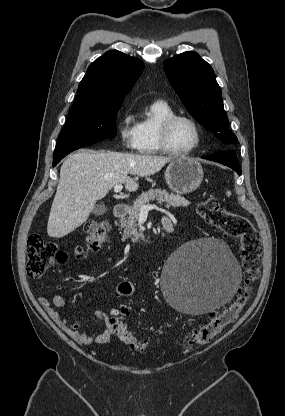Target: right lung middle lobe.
Wrapping results in <instances>:
<instances>
[{
	"label": "right lung middle lobe",
	"mask_w": 285,
	"mask_h": 416,
	"mask_svg": "<svg viewBox=\"0 0 285 416\" xmlns=\"http://www.w3.org/2000/svg\"><path fill=\"white\" fill-rule=\"evenodd\" d=\"M122 101L102 104L75 102L58 144L73 141H100L116 135V116Z\"/></svg>",
	"instance_id": "right-lung-middle-lobe-1"
}]
</instances>
